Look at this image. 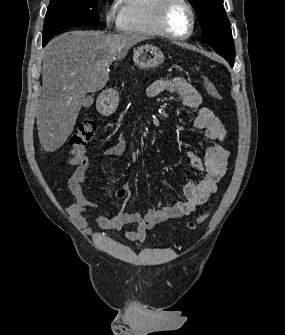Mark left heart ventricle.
Instances as JSON below:
<instances>
[{
	"label": "left heart ventricle",
	"mask_w": 285,
	"mask_h": 335,
	"mask_svg": "<svg viewBox=\"0 0 285 335\" xmlns=\"http://www.w3.org/2000/svg\"><path fill=\"white\" fill-rule=\"evenodd\" d=\"M188 12L180 4L174 5L170 13V24L173 28L183 26L187 20Z\"/></svg>",
	"instance_id": "1"
}]
</instances>
